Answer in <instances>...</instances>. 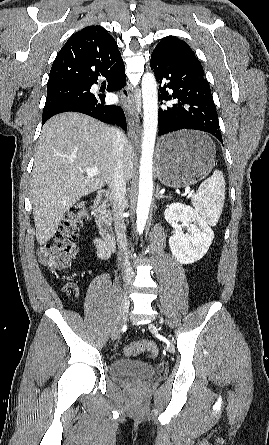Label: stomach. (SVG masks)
<instances>
[{"label": "stomach", "instance_id": "stomach-1", "mask_svg": "<svg viewBox=\"0 0 269 445\" xmlns=\"http://www.w3.org/2000/svg\"><path fill=\"white\" fill-rule=\"evenodd\" d=\"M215 145L197 131L166 136L157 156V176L166 186L183 188L204 178L213 168Z\"/></svg>", "mask_w": 269, "mask_h": 445}]
</instances>
